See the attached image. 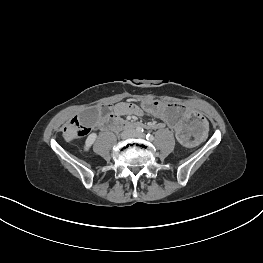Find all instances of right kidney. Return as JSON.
Segmentation results:
<instances>
[{"label":"right kidney","mask_w":263,"mask_h":263,"mask_svg":"<svg viewBox=\"0 0 263 263\" xmlns=\"http://www.w3.org/2000/svg\"><path fill=\"white\" fill-rule=\"evenodd\" d=\"M96 138H97L96 133H92V134H90V135L87 137V139H86V141H85L84 151H89L90 147H91L92 144L95 142Z\"/></svg>","instance_id":"ca27d5eb"}]
</instances>
